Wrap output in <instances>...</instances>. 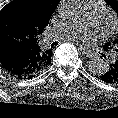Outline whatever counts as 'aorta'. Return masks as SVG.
I'll use <instances>...</instances> for the list:
<instances>
[{"instance_id": "aorta-1", "label": "aorta", "mask_w": 118, "mask_h": 118, "mask_svg": "<svg viewBox=\"0 0 118 118\" xmlns=\"http://www.w3.org/2000/svg\"><path fill=\"white\" fill-rule=\"evenodd\" d=\"M59 10L64 18L75 19L80 15L82 6L80 0H63ZM107 68L108 65L100 58H94L88 62L89 71L95 75L103 74Z\"/></svg>"}]
</instances>
